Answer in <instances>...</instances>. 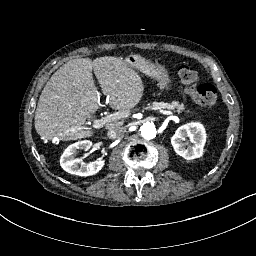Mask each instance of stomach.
Listing matches in <instances>:
<instances>
[{"instance_id": "obj_1", "label": "stomach", "mask_w": 256, "mask_h": 256, "mask_svg": "<svg viewBox=\"0 0 256 256\" xmlns=\"http://www.w3.org/2000/svg\"><path fill=\"white\" fill-rule=\"evenodd\" d=\"M154 72V77L158 81V86L165 91H170L172 80L170 79L169 73L166 70L161 71L157 69H154Z\"/></svg>"}]
</instances>
